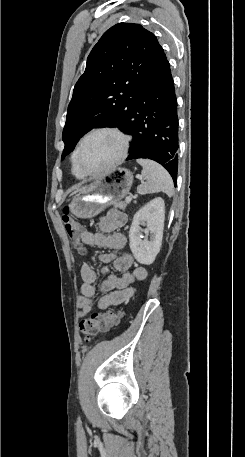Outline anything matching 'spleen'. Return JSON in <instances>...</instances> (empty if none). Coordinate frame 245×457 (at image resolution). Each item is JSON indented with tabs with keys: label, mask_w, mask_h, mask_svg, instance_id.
Masks as SVG:
<instances>
[{
	"label": "spleen",
	"mask_w": 245,
	"mask_h": 457,
	"mask_svg": "<svg viewBox=\"0 0 245 457\" xmlns=\"http://www.w3.org/2000/svg\"><path fill=\"white\" fill-rule=\"evenodd\" d=\"M137 162L143 166L142 176L147 178L146 182H142L137 186L139 194H150V192H166L168 196L174 194L173 180L164 166L149 160V158H137Z\"/></svg>",
	"instance_id": "obj_1"
}]
</instances>
